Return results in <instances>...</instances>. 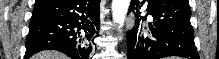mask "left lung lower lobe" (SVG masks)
Here are the masks:
<instances>
[{
	"mask_svg": "<svg viewBox=\"0 0 219 59\" xmlns=\"http://www.w3.org/2000/svg\"><path fill=\"white\" fill-rule=\"evenodd\" d=\"M143 5L147 6L144 17L139 11ZM134 10L135 26L127 32L128 59H199L188 0H131L128 13ZM148 15L151 22H145Z\"/></svg>",
	"mask_w": 219,
	"mask_h": 59,
	"instance_id": "1",
	"label": "left lung lower lobe"
}]
</instances>
